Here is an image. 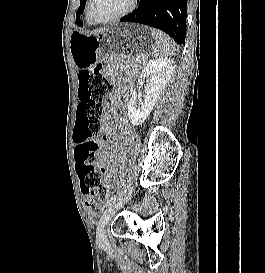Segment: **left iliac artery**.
Returning a JSON list of instances; mask_svg holds the SVG:
<instances>
[{
    "label": "left iliac artery",
    "mask_w": 265,
    "mask_h": 273,
    "mask_svg": "<svg viewBox=\"0 0 265 273\" xmlns=\"http://www.w3.org/2000/svg\"><path fill=\"white\" fill-rule=\"evenodd\" d=\"M117 198H118L117 195H114V196L110 197V198L107 200L105 206H110L111 204H113V203L117 200Z\"/></svg>",
    "instance_id": "obj_1"
}]
</instances>
